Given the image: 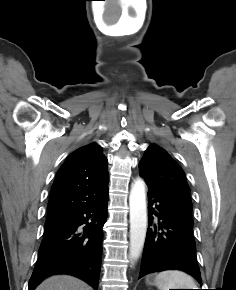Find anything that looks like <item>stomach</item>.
Segmentation results:
<instances>
[{"mask_svg": "<svg viewBox=\"0 0 236 290\" xmlns=\"http://www.w3.org/2000/svg\"><path fill=\"white\" fill-rule=\"evenodd\" d=\"M147 285H155V277L153 275H150L146 278Z\"/></svg>", "mask_w": 236, "mask_h": 290, "instance_id": "obj_1", "label": "stomach"}]
</instances>
